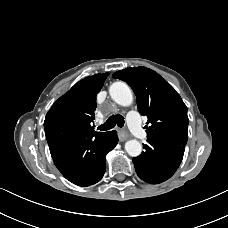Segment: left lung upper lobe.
Wrapping results in <instances>:
<instances>
[{"label": "left lung upper lobe", "instance_id": "5c2ea615", "mask_svg": "<svg viewBox=\"0 0 228 228\" xmlns=\"http://www.w3.org/2000/svg\"><path fill=\"white\" fill-rule=\"evenodd\" d=\"M112 76L127 82L133 89L140 114L148 118L147 137H166L187 143V107L163 77L146 67L126 68Z\"/></svg>", "mask_w": 228, "mask_h": 228}]
</instances>
